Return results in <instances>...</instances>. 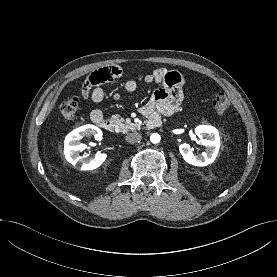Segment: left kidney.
<instances>
[{
  "mask_svg": "<svg viewBox=\"0 0 277 277\" xmlns=\"http://www.w3.org/2000/svg\"><path fill=\"white\" fill-rule=\"evenodd\" d=\"M195 133L200 142L207 147L206 152L195 155L189 144L184 143L179 146V151L183 159L194 166H207L214 162L220 148V137L218 130L213 126L199 125L195 128Z\"/></svg>",
  "mask_w": 277,
  "mask_h": 277,
  "instance_id": "1",
  "label": "left kidney"
}]
</instances>
